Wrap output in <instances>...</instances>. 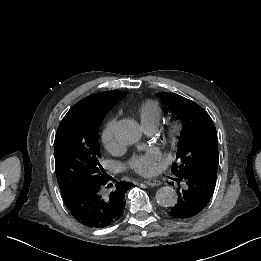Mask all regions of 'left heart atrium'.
I'll list each match as a JSON object with an SVG mask.
<instances>
[{"mask_svg": "<svg viewBox=\"0 0 261 261\" xmlns=\"http://www.w3.org/2000/svg\"><path fill=\"white\" fill-rule=\"evenodd\" d=\"M162 166V155L154 150L135 153L128 157L123 167L143 176H153Z\"/></svg>", "mask_w": 261, "mask_h": 261, "instance_id": "left-heart-atrium-1", "label": "left heart atrium"}]
</instances>
